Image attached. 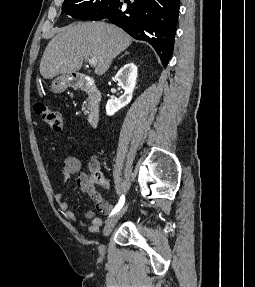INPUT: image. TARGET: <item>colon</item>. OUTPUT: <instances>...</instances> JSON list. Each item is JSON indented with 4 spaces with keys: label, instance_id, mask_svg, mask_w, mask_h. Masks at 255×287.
<instances>
[{
    "label": "colon",
    "instance_id": "obj_1",
    "mask_svg": "<svg viewBox=\"0 0 255 287\" xmlns=\"http://www.w3.org/2000/svg\"><path fill=\"white\" fill-rule=\"evenodd\" d=\"M35 111L42 116L44 122L49 128H51L55 132L61 131L63 126V120L61 114L58 111L54 110L53 108L47 106L42 102H38L35 105ZM89 179L92 182L98 184L104 183L103 176L100 174L95 165L90 166Z\"/></svg>",
    "mask_w": 255,
    "mask_h": 287
}]
</instances>
